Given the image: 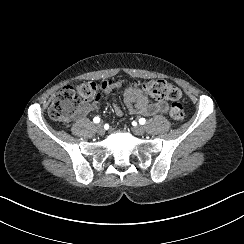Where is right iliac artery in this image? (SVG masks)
<instances>
[{"label":"right iliac artery","mask_w":244,"mask_h":244,"mask_svg":"<svg viewBox=\"0 0 244 244\" xmlns=\"http://www.w3.org/2000/svg\"><path fill=\"white\" fill-rule=\"evenodd\" d=\"M93 121H94V123H99V122H100V118H99V117H95V118L93 119ZM104 128H105V126H104Z\"/></svg>","instance_id":"82829eb1"}]
</instances>
